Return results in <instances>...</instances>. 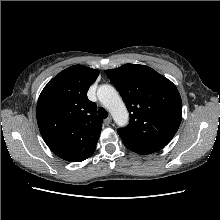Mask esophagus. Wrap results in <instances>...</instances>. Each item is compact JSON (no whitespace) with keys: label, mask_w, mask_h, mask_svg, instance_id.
Returning <instances> with one entry per match:
<instances>
[{"label":"esophagus","mask_w":220,"mask_h":220,"mask_svg":"<svg viewBox=\"0 0 220 220\" xmlns=\"http://www.w3.org/2000/svg\"><path fill=\"white\" fill-rule=\"evenodd\" d=\"M112 122V117L109 116L107 119L104 120L105 125H109Z\"/></svg>","instance_id":"esophagus-1"}]
</instances>
